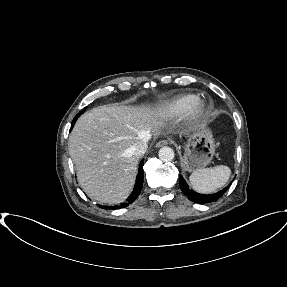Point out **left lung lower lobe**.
Returning <instances> with one entry per match:
<instances>
[{
    "mask_svg": "<svg viewBox=\"0 0 287 287\" xmlns=\"http://www.w3.org/2000/svg\"><path fill=\"white\" fill-rule=\"evenodd\" d=\"M179 185L183 193L188 197V199L199 204L211 203V202L217 201L220 197L223 196V194L227 191V189L230 186L228 185L221 191L214 193V194H210V195L199 194L189 188L186 181L181 175L179 176Z\"/></svg>",
    "mask_w": 287,
    "mask_h": 287,
    "instance_id": "0a47b994",
    "label": "left lung lower lobe"
}]
</instances>
